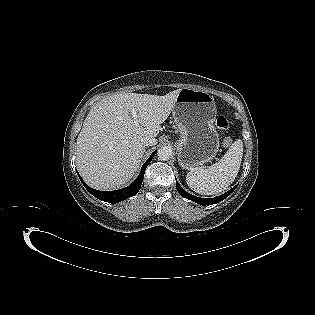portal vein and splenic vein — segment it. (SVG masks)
<instances>
[{
	"label": "portal vein and splenic vein",
	"mask_w": 315,
	"mask_h": 315,
	"mask_svg": "<svg viewBox=\"0 0 315 315\" xmlns=\"http://www.w3.org/2000/svg\"><path fill=\"white\" fill-rule=\"evenodd\" d=\"M131 115H132V117L134 118V123H135L136 125H139V124H138V120H137V111H136L135 109H132V110H131Z\"/></svg>",
	"instance_id": "18ae733b"
}]
</instances>
